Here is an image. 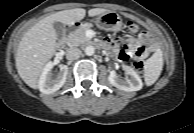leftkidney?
Here are the masks:
<instances>
[{"instance_id":"obj_1","label":"left kidney","mask_w":194,"mask_h":133,"mask_svg":"<svg viewBox=\"0 0 194 133\" xmlns=\"http://www.w3.org/2000/svg\"><path fill=\"white\" fill-rule=\"evenodd\" d=\"M122 68L125 71L127 77L125 79H122L119 76H117L116 73L111 72L108 77L109 82L114 87L126 92H133V91L140 90L143 84L139 75L136 73V71L127 65H123Z\"/></svg>"}]
</instances>
